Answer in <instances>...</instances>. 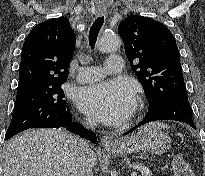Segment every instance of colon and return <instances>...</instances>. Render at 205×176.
I'll return each instance as SVG.
<instances>
[{"mask_svg":"<svg viewBox=\"0 0 205 176\" xmlns=\"http://www.w3.org/2000/svg\"><path fill=\"white\" fill-rule=\"evenodd\" d=\"M173 172L174 176H195L189 163L179 155L174 159Z\"/></svg>","mask_w":205,"mask_h":176,"instance_id":"obj_1","label":"colon"}]
</instances>
